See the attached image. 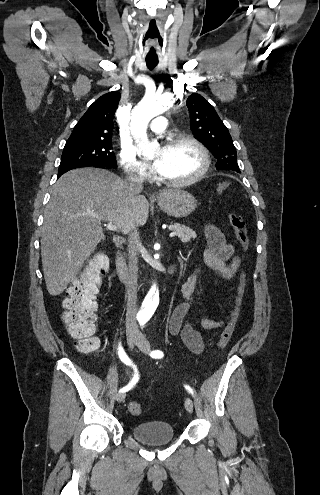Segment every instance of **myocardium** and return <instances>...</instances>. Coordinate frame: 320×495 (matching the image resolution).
<instances>
[{"label":"myocardium","mask_w":320,"mask_h":495,"mask_svg":"<svg viewBox=\"0 0 320 495\" xmlns=\"http://www.w3.org/2000/svg\"><path fill=\"white\" fill-rule=\"evenodd\" d=\"M179 144H189V145L193 146L199 152V154L201 156L202 166L197 173H195L194 175H192L186 179H183V180H173V179H170V178H167L164 176L161 177L162 181H164L165 183H167L171 186H177V187L192 185V184L200 181L207 174V172L210 168V164H211L210 155H209L208 150L206 149V147L201 142H199L197 139H195L193 137H190V136L171 137L168 140L165 147L170 148V147L177 146Z\"/></svg>","instance_id":"f54148a6"}]
</instances>
